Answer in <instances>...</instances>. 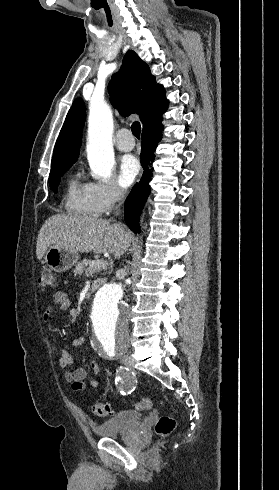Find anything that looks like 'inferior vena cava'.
<instances>
[{
    "instance_id": "inferior-vena-cava-1",
    "label": "inferior vena cava",
    "mask_w": 279,
    "mask_h": 490,
    "mask_svg": "<svg viewBox=\"0 0 279 490\" xmlns=\"http://www.w3.org/2000/svg\"><path fill=\"white\" fill-rule=\"evenodd\" d=\"M124 194H125V192H124L123 188H117L116 200H118V202H119V200H123ZM118 214H119V210H118V212H116V216H118ZM122 274H123V276H125L126 272H122Z\"/></svg>"
}]
</instances>
